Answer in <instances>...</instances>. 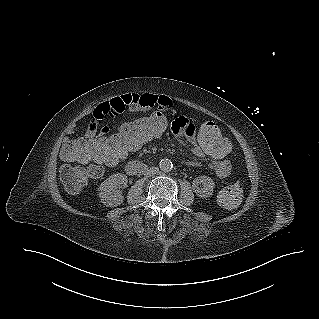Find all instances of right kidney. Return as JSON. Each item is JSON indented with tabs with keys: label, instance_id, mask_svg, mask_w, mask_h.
Returning a JSON list of instances; mask_svg holds the SVG:
<instances>
[{
	"label": "right kidney",
	"instance_id": "ca27d5eb",
	"mask_svg": "<svg viewBox=\"0 0 319 319\" xmlns=\"http://www.w3.org/2000/svg\"><path fill=\"white\" fill-rule=\"evenodd\" d=\"M127 182V176L122 173L113 174L103 181L99 187L101 202L107 207H116L123 203L122 192Z\"/></svg>",
	"mask_w": 319,
	"mask_h": 319
}]
</instances>
